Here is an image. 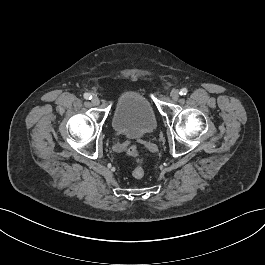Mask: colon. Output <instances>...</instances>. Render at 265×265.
I'll return each instance as SVG.
<instances>
[{"instance_id":"obj_1","label":"colon","mask_w":265,"mask_h":265,"mask_svg":"<svg viewBox=\"0 0 265 265\" xmlns=\"http://www.w3.org/2000/svg\"><path fill=\"white\" fill-rule=\"evenodd\" d=\"M128 154L135 158V162L132 168L133 177L137 179L142 178L145 175L146 169H145V165H144L142 158L139 156L137 147L135 145L131 146L128 149Z\"/></svg>"}]
</instances>
